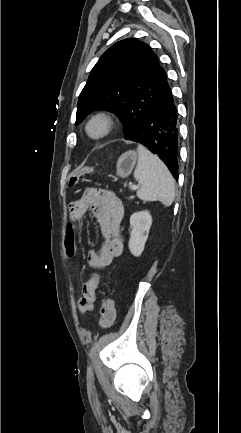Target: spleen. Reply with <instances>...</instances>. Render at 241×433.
Instances as JSON below:
<instances>
[{"instance_id": "1", "label": "spleen", "mask_w": 241, "mask_h": 433, "mask_svg": "<svg viewBox=\"0 0 241 433\" xmlns=\"http://www.w3.org/2000/svg\"><path fill=\"white\" fill-rule=\"evenodd\" d=\"M139 158L134 178L139 182L137 197L145 202L159 201L172 205L175 198V181L166 165L144 146L137 148Z\"/></svg>"}]
</instances>
